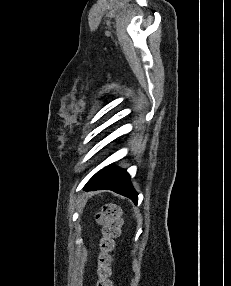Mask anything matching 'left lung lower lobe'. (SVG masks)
I'll return each mask as SVG.
<instances>
[{"mask_svg": "<svg viewBox=\"0 0 231 286\" xmlns=\"http://www.w3.org/2000/svg\"><path fill=\"white\" fill-rule=\"evenodd\" d=\"M86 189H109L130 198L135 204L138 202V194L130 183L129 174L111 165L95 174L86 184Z\"/></svg>", "mask_w": 231, "mask_h": 286, "instance_id": "obj_1", "label": "left lung lower lobe"}]
</instances>
